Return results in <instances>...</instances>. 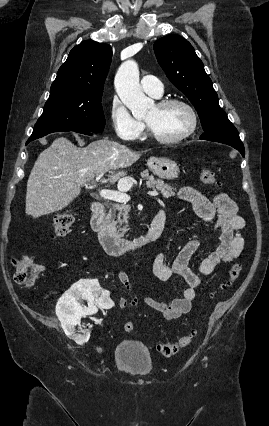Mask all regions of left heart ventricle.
Instances as JSON below:
<instances>
[{
	"label": "left heart ventricle",
	"instance_id": "1",
	"mask_svg": "<svg viewBox=\"0 0 269 426\" xmlns=\"http://www.w3.org/2000/svg\"><path fill=\"white\" fill-rule=\"evenodd\" d=\"M144 120L158 135L165 138L179 136L191 125L190 113L181 105L166 108L155 105Z\"/></svg>",
	"mask_w": 269,
	"mask_h": 426
}]
</instances>
